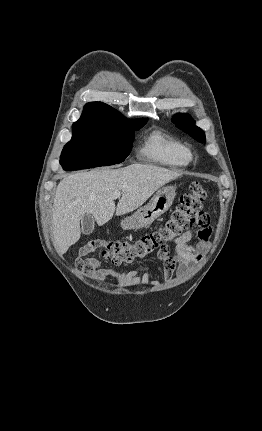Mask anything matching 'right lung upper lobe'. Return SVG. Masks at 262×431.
I'll return each instance as SVG.
<instances>
[{"label": "right lung upper lobe", "instance_id": "obj_1", "mask_svg": "<svg viewBox=\"0 0 262 431\" xmlns=\"http://www.w3.org/2000/svg\"><path fill=\"white\" fill-rule=\"evenodd\" d=\"M120 119L127 118L105 103L91 102L85 105L80 119L74 124H100L109 123Z\"/></svg>", "mask_w": 262, "mask_h": 431}]
</instances>
